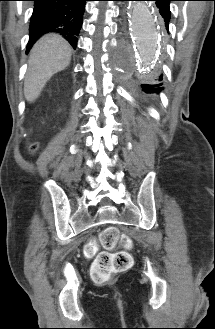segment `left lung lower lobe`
<instances>
[{"label":"left lung lower lobe","mask_w":215,"mask_h":329,"mask_svg":"<svg viewBox=\"0 0 215 329\" xmlns=\"http://www.w3.org/2000/svg\"><path fill=\"white\" fill-rule=\"evenodd\" d=\"M151 1H155L157 7L159 8V12L161 14V16L164 18V22H165V26L166 29L168 31V25H169V21H170V8H169V3L171 1H175V0H151ZM162 77H160L161 79ZM143 89L146 92H159L162 90V88H159L158 86H161V84L158 85H148V84H143Z\"/></svg>","instance_id":"1"}]
</instances>
